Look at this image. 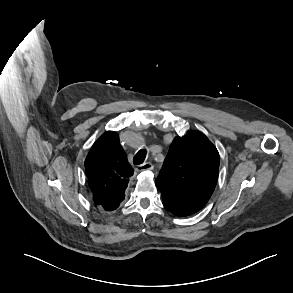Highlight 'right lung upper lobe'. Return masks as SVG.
<instances>
[{
    "mask_svg": "<svg viewBox=\"0 0 293 293\" xmlns=\"http://www.w3.org/2000/svg\"><path fill=\"white\" fill-rule=\"evenodd\" d=\"M86 175L95 203L106 211L117 209L133 169L116 132L107 131L93 144L85 160Z\"/></svg>",
    "mask_w": 293,
    "mask_h": 293,
    "instance_id": "right-lung-upper-lobe-1",
    "label": "right lung upper lobe"
}]
</instances>
